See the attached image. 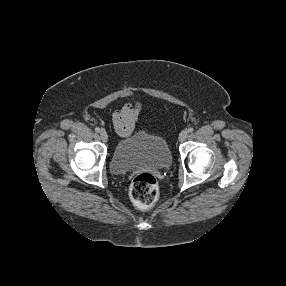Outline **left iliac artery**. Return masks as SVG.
<instances>
[{
	"mask_svg": "<svg viewBox=\"0 0 286 286\" xmlns=\"http://www.w3.org/2000/svg\"><path fill=\"white\" fill-rule=\"evenodd\" d=\"M194 131V128L193 127H190L189 129H188V132H193Z\"/></svg>",
	"mask_w": 286,
	"mask_h": 286,
	"instance_id": "obj_1",
	"label": "left iliac artery"
}]
</instances>
